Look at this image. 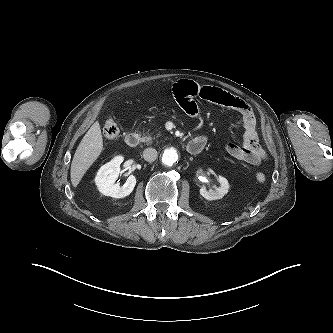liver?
<instances>
[{"label":"liver","instance_id":"6515ba94","mask_svg":"<svg viewBox=\"0 0 333 333\" xmlns=\"http://www.w3.org/2000/svg\"><path fill=\"white\" fill-rule=\"evenodd\" d=\"M103 150V137L100 124L96 121L87 131L78 145L71 163V182L77 187L90 166L96 161Z\"/></svg>","mask_w":333,"mask_h":333}]
</instances>
